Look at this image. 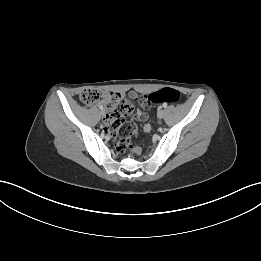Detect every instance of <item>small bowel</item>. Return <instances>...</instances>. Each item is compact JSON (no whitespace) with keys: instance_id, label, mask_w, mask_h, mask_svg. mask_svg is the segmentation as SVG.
<instances>
[{"instance_id":"1","label":"small bowel","mask_w":261,"mask_h":261,"mask_svg":"<svg viewBox=\"0 0 261 261\" xmlns=\"http://www.w3.org/2000/svg\"><path fill=\"white\" fill-rule=\"evenodd\" d=\"M130 97L134 98V101L137 103H141L143 106H148L151 102L148 100L147 95H138L135 91H131L129 93ZM136 117L139 120H146L148 115L145 111L143 110H138L136 113ZM105 123H106V118H105ZM144 131H149L150 130V125L145 124L143 127Z\"/></svg>"}]
</instances>
